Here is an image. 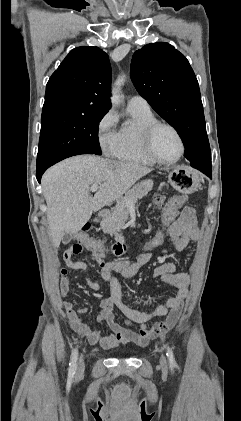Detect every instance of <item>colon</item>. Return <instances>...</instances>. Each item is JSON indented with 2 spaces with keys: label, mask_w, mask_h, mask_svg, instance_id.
<instances>
[{
  "label": "colon",
  "mask_w": 241,
  "mask_h": 421,
  "mask_svg": "<svg viewBox=\"0 0 241 421\" xmlns=\"http://www.w3.org/2000/svg\"><path fill=\"white\" fill-rule=\"evenodd\" d=\"M186 202V197L183 195H177L172 197L163 207L160 215V225L154 232V234L145 242L143 246L144 252H150L158 247H160L165 240L167 239V232L170 225L175 221L178 211L183 207ZM87 226L83 227L82 233L78 234L76 239L77 242L69 246L73 254H79L84 251V249H89L92 251L91 256L96 261L100 262V266L104 264L102 262V253L103 251H109L112 253L117 252L115 244H106L103 242H96L90 239L85 231ZM118 255V254H117Z\"/></svg>",
  "instance_id": "colon-1"
}]
</instances>
